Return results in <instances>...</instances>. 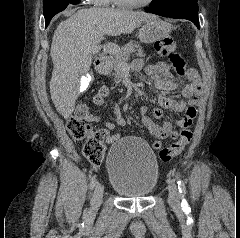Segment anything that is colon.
I'll use <instances>...</instances> for the list:
<instances>
[{
    "label": "colon",
    "mask_w": 240,
    "mask_h": 238,
    "mask_svg": "<svg viewBox=\"0 0 240 238\" xmlns=\"http://www.w3.org/2000/svg\"><path fill=\"white\" fill-rule=\"evenodd\" d=\"M157 52L167 56L174 69L181 76H185L188 71L185 68V61L177 50L176 42L171 37H165L155 43ZM90 113L89 105L81 100L77 103L74 113L67 120V129L71 136L77 140L86 139L83 147L84 155L93 163H100L104 157L105 145L104 130H92L86 123V117ZM192 139V132L184 128L178 139L170 146L159 151V158L163 162H169L174 157L180 155Z\"/></svg>",
    "instance_id": "colon-1"
}]
</instances>
